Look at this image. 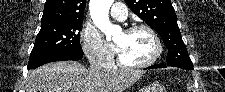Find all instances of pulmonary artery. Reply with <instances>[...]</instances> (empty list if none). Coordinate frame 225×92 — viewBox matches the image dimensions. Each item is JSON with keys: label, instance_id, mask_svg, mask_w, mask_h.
<instances>
[{"label": "pulmonary artery", "instance_id": "pulmonary-artery-1", "mask_svg": "<svg viewBox=\"0 0 225 92\" xmlns=\"http://www.w3.org/2000/svg\"><path fill=\"white\" fill-rule=\"evenodd\" d=\"M110 14L114 19L125 21L127 18V7L121 2L113 3Z\"/></svg>", "mask_w": 225, "mask_h": 92}]
</instances>
